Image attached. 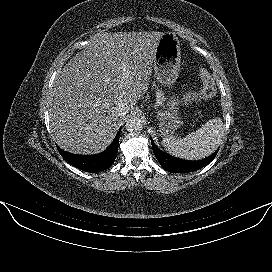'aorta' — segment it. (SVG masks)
<instances>
[{"mask_svg": "<svg viewBox=\"0 0 272 272\" xmlns=\"http://www.w3.org/2000/svg\"><path fill=\"white\" fill-rule=\"evenodd\" d=\"M126 130L129 132H138L143 129V123L141 119L134 117L130 118L126 123Z\"/></svg>", "mask_w": 272, "mask_h": 272, "instance_id": "1", "label": "aorta"}]
</instances>
